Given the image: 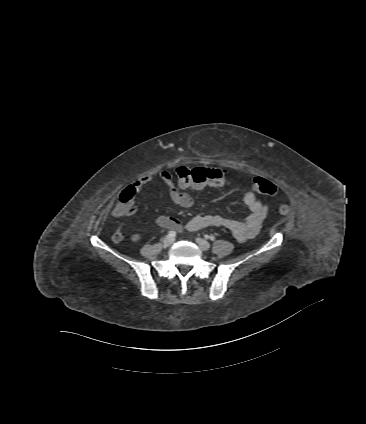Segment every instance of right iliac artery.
Here are the masks:
<instances>
[{"mask_svg":"<svg viewBox=\"0 0 366 424\" xmlns=\"http://www.w3.org/2000/svg\"><path fill=\"white\" fill-rule=\"evenodd\" d=\"M168 235L171 236V237H175L176 232L175 231H169Z\"/></svg>","mask_w":366,"mask_h":424,"instance_id":"82829eb1","label":"right iliac artery"}]
</instances>
